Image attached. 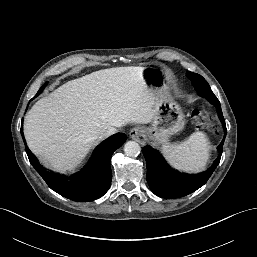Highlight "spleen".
Wrapping results in <instances>:
<instances>
[{"label": "spleen", "instance_id": "obj_1", "mask_svg": "<svg viewBox=\"0 0 257 257\" xmlns=\"http://www.w3.org/2000/svg\"><path fill=\"white\" fill-rule=\"evenodd\" d=\"M161 151L174 168L195 173L205 168L210 156V145L204 132H194L180 143L164 144Z\"/></svg>", "mask_w": 257, "mask_h": 257}]
</instances>
